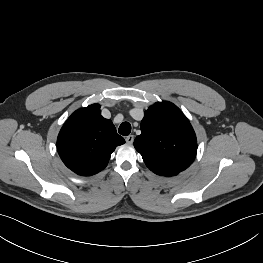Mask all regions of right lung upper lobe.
Returning a JSON list of instances; mask_svg holds the SVG:
<instances>
[{
  "instance_id": "obj_1",
  "label": "right lung upper lobe",
  "mask_w": 263,
  "mask_h": 263,
  "mask_svg": "<svg viewBox=\"0 0 263 263\" xmlns=\"http://www.w3.org/2000/svg\"><path fill=\"white\" fill-rule=\"evenodd\" d=\"M125 143L112 121L101 115L98 104L75 111L63 125L57 150L64 164L83 176L103 170L112 152Z\"/></svg>"
}]
</instances>
